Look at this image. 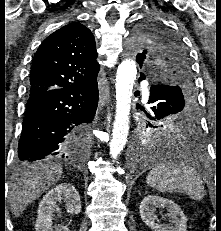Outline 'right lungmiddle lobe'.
<instances>
[{"label": "right lung middle lobe", "instance_id": "1", "mask_svg": "<svg viewBox=\"0 0 221 231\" xmlns=\"http://www.w3.org/2000/svg\"><path fill=\"white\" fill-rule=\"evenodd\" d=\"M91 123L89 125H87V126L78 128V130H80L81 132H85L86 138H87V145H88L89 136H90L89 134H90V125H91Z\"/></svg>", "mask_w": 221, "mask_h": 231}]
</instances>
